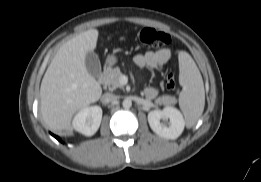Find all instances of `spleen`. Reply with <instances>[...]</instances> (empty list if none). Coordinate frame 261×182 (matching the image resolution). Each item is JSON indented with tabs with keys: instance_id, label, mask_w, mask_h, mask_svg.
I'll return each mask as SVG.
<instances>
[{
	"instance_id": "3e777b00",
	"label": "spleen",
	"mask_w": 261,
	"mask_h": 182,
	"mask_svg": "<svg viewBox=\"0 0 261 182\" xmlns=\"http://www.w3.org/2000/svg\"><path fill=\"white\" fill-rule=\"evenodd\" d=\"M179 82L182 91L179 95V106L185 116L186 126L193 127L201 117L205 105V91L202 76L192 57L180 51Z\"/></svg>"
}]
</instances>
